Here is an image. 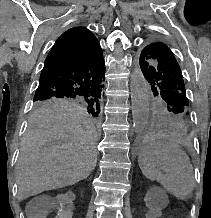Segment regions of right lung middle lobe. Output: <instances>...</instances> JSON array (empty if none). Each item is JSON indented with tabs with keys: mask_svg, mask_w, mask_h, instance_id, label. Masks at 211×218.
Instances as JSON below:
<instances>
[{
	"mask_svg": "<svg viewBox=\"0 0 211 218\" xmlns=\"http://www.w3.org/2000/svg\"><path fill=\"white\" fill-rule=\"evenodd\" d=\"M34 107L36 109H47L61 106L80 105L87 109L94 117H99L101 99L95 98H66V97H45L34 98Z\"/></svg>",
	"mask_w": 211,
	"mask_h": 218,
	"instance_id": "obj_1",
	"label": "right lung middle lobe"
}]
</instances>
